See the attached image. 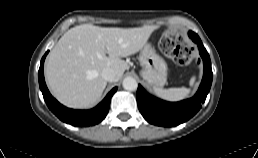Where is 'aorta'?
Masks as SVG:
<instances>
[{"instance_id":"obj_1","label":"aorta","mask_w":258,"mask_h":158,"mask_svg":"<svg viewBox=\"0 0 258 158\" xmlns=\"http://www.w3.org/2000/svg\"><path fill=\"white\" fill-rule=\"evenodd\" d=\"M138 87L137 81L132 77H126L123 80V88L128 91H135Z\"/></svg>"}]
</instances>
